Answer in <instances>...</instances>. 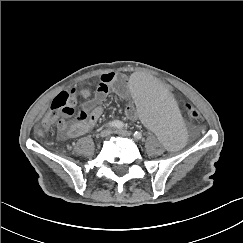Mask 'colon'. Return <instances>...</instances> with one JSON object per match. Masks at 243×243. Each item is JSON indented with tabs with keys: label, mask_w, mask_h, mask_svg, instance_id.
Listing matches in <instances>:
<instances>
[{
	"label": "colon",
	"mask_w": 243,
	"mask_h": 243,
	"mask_svg": "<svg viewBox=\"0 0 243 243\" xmlns=\"http://www.w3.org/2000/svg\"><path fill=\"white\" fill-rule=\"evenodd\" d=\"M89 92L85 88H80L78 90H72L70 92H60L51 102L50 108L47 111L41 127L39 128V133L44 130L49 129L52 124L57 120L59 115L63 114H73L74 107L76 105L77 97H87ZM181 111L186 113V115L194 122L201 123L203 121V113L199 111L190 102H183L181 104Z\"/></svg>",
	"instance_id": "obj_1"
}]
</instances>
